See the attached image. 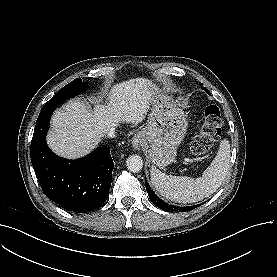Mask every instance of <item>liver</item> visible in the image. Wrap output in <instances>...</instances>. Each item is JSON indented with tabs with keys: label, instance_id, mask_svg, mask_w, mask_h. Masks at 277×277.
I'll return each instance as SVG.
<instances>
[{
	"label": "liver",
	"instance_id": "6515ba94",
	"mask_svg": "<svg viewBox=\"0 0 277 277\" xmlns=\"http://www.w3.org/2000/svg\"><path fill=\"white\" fill-rule=\"evenodd\" d=\"M154 96L150 81L136 78L114 85L107 106L96 105L92 110L82 101L71 100L53 114L47 144L61 157L87 155L119 123L142 122Z\"/></svg>",
	"mask_w": 277,
	"mask_h": 277
}]
</instances>
